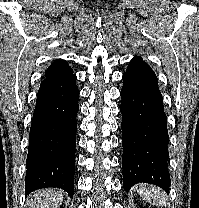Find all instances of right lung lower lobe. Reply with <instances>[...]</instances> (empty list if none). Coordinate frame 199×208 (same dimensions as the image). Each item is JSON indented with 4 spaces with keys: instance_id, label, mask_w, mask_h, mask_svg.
I'll return each instance as SVG.
<instances>
[{
    "instance_id": "obj_1",
    "label": "right lung lower lobe",
    "mask_w": 199,
    "mask_h": 208,
    "mask_svg": "<svg viewBox=\"0 0 199 208\" xmlns=\"http://www.w3.org/2000/svg\"><path fill=\"white\" fill-rule=\"evenodd\" d=\"M78 97L74 74L41 83L29 134L26 193L57 187L73 196Z\"/></svg>"
}]
</instances>
